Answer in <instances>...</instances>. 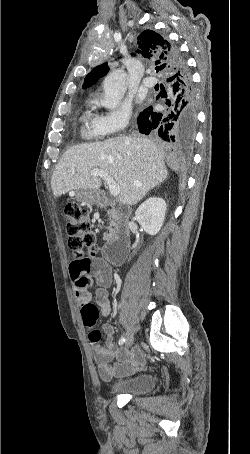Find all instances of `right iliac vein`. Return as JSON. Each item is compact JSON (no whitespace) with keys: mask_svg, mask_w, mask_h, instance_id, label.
Here are the masks:
<instances>
[{"mask_svg":"<svg viewBox=\"0 0 250 454\" xmlns=\"http://www.w3.org/2000/svg\"><path fill=\"white\" fill-rule=\"evenodd\" d=\"M134 342V333L131 330H128L127 332V338H126V347L130 348Z\"/></svg>","mask_w":250,"mask_h":454,"instance_id":"obj_1","label":"right iliac vein"}]
</instances>
